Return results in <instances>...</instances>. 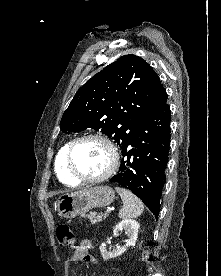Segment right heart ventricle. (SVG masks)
Returning a JSON list of instances; mask_svg holds the SVG:
<instances>
[{"label": "right heart ventricle", "instance_id": "obj_1", "mask_svg": "<svg viewBox=\"0 0 221 276\" xmlns=\"http://www.w3.org/2000/svg\"><path fill=\"white\" fill-rule=\"evenodd\" d=\"M68 145H69V142L65 143L58 151V154L55 159V170H56L59 180L62 183H65L68 185H76V184H78L79 181L74 179L69 174L67 167H66L65 156H66V151H67Z\"/></svg>", "mask_w": 221, "mask_h": 276}]
</instances>
